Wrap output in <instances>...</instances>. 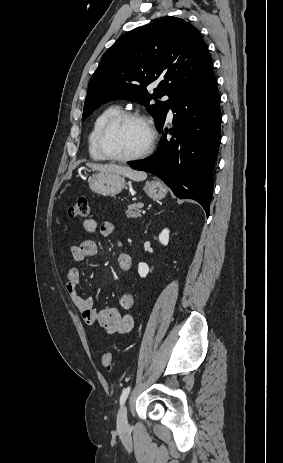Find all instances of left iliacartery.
I'll return each mask as SVG.
<instances>
[{"label": "left iliac artery", "mask_w": 283, "mask_h": 463, "mask_svg": "<svg viewBox=\"0 0 283 463\" xmlns=\"http://www.w3.org/2000/svg\"><path fill=\"white\" fill-rule=\"evenodd\" d=\"M129 393H130V386H128L127 388H125V389L123 390L122 394H121V397H120V405H121V406L125 403V401H126L128 395H129Z\"/></svg>", "instance_id": "obj_1"}]
</instances>
